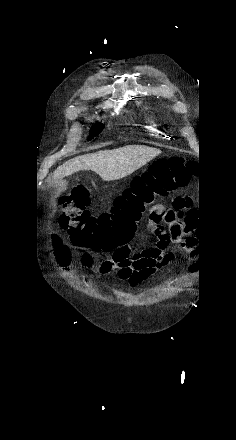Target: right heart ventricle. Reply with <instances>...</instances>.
Returning <instances> with one entry per match:
<instances>
[{
  "mask_svg": "<svg viewBox=\"0 0 236 440\" xmlns=\"http://www.w3.org/2000/svg\"><path fill=\"white\" fill-rule=\"evenodd\" d=\"M161 120L154 113H148L146 117V122L148 124L147 131L153 137L160 138L162 135V127H160L159 122Z\"/></svg>",
  "mask_w": 236,
  "mask_h": 440,
  "instance_id": "obj_1",
  "label": "right heart ventricle"
}]
</instances>
